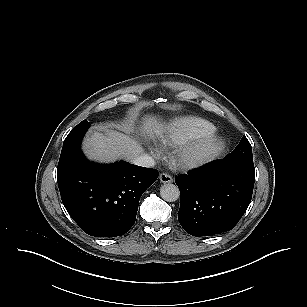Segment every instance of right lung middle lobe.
<instances>
[{"instance_id":"1","label":"right lung middle lobe","mask_w":307,"mask_h":307,"mask_svg":"<svg viewBox=\"0 0 307 307\" xmlns=\"http://www.w3.org/2000/svg\"><path fill=\"white\" fill-rule=\"evenodd\" d=\"M89 126H90V123L87 120H83L82 122H80L77 126H75L70 131V133L68 134V136L64 140L63 145L69 143L72 140L82 138L84 136V134L86 133L87 129L89 128Z\"/></svg>"}]
</instances>
